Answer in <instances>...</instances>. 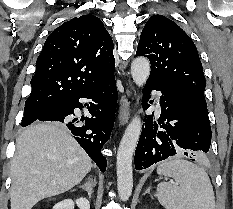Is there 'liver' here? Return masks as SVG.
Here are the masks:
<instances>
[{
  "instance_id": "6515ba94",
  "label": "liver",
  "mask_w": 233,
  "mask_h": 209,
  "mask_svg": "<svg viewBox=\"0 0 233 209\" xmlns=\"http://www.w3.org/2000/svg\"><path fill=\"white\" fill-rule=\"evenodd\" d=\"M91 166L88 155L64 126H30L17 138L11 161V209H31L44 198L70 190Z\"/></svg>"
}]
</instances>
